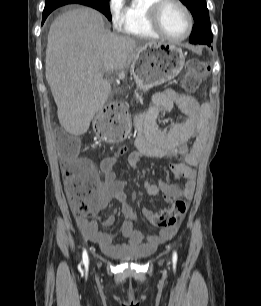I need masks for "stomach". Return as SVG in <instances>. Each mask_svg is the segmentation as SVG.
Here are the masks:
<instances>
[{
  "label": "stomach",
  "instance_id": "1",
  "mask_svg": "<svg viewBox=\"0 0 261 306\" xmlns=\"http://www.w3.org/2000/svg\"><path fill=\"white\" fill-rule=\"evenodd\" d=\"M185 56L182 49L169 43H160L143 49L133 61V70L138 89L145 93L154 86L174 79L183 69ZM136 99L142 103V94ZM127 130L130 129V116L127 115ZM97 129V128H96Z\"/></svg>",
  "mask_w": 261,
  "mask_h": 306
}]
</instances>
